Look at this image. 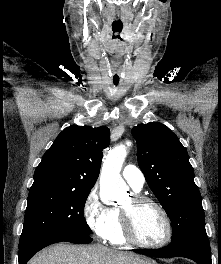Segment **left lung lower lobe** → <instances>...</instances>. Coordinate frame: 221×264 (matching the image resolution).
Wrapping results in <instances>:
<instances>
[{
  "instance_id": "0a47b994",
  "label": "left lung lower lobe",
  "mask_w": 221,
  "mask_h": 264,
  "mask_svg": "<svg viewBox=\"0 0 221 264\" xmlns=\"http://www.w3.org/2000/svg\"><path fill=\"white\" fill-rule=\"evenodd\" d=\"M134 252L152 257H185L197 264H212L211 249L207 235L184 236L160 249H135Z\"/></svg>"
}]
</instances>
